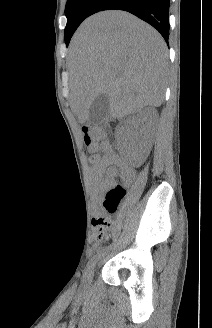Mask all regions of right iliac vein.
<instances>
[{
    "label": "right iliac vein",
    "mask_w": 212,
    "mask_h": 328,
    "mask_svg": "<svg viewBox=\"0 0 212 328\" xmlns=\"http://www.w3.org/2000/svg\"><path fill=\"white\" fill-rule=\"evenodd\" d=\"M94 270H95V268L93 267L90 271H89V273L87 274V276H86V278L84 279V284H89L90 283V281H91V279H92V276H93V274H94Z\"/></svg>",
    "instance_id": "obj_1"
}]
</instances>
